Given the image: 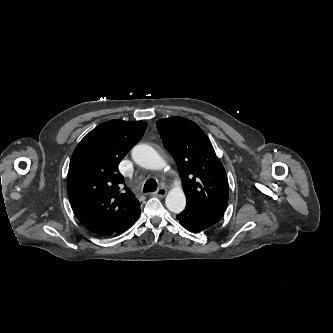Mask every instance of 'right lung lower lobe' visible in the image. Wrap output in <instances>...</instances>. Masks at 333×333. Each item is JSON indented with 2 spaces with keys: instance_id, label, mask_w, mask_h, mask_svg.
<instances>
[{
  "instance_id": "right-lung-lower-lobe-1",
  "label": "right lung lower lobe",
  "mask_w": 333,
  "mask_h": 333,
  "mask_svg": "<svg viewBox=\"0 0 333 333\" xmlns=\"http://www.w3.org/2000/svg\"><path fill=\"white\" fill-rule=\"evenodd\" d=\"M140 216V215H139ZM139 216L133 221L131 222L127 227H125L123 230H121L120 232H118L116 235L118 234H121L122 232L126 231L128 228H130L134 223L135 221L139 218Z\"/></svg>"
}]
</instances>
